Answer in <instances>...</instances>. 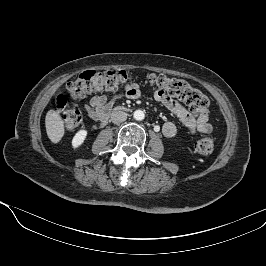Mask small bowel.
Returning <instances> with one entry per match:
<instances>
[{
  "label": "small bowel",
  "mask_w": 266,
  "mask_h": 266,
  "mask_svg": "<svg viewBox=\"0 0 266 266\" xmlns=\"http://www.w3.org/2000/svg\"><path fill=\"white\" fill-rule=\"evenodd\" d=\"M141 96V90L135 84H129L125 90L116 94L112 98L106 95H98L91 98L84 109L88 117L95 123H101L104 116L110 109L112 103L122 97L137 99ZM153 97L169 109L178 119L180 124L191 133L208 134L212 131V125L209 122L208 113L193 116L185 106L178 100L161 91H154ZM177 132V127L173 122H165L162 126V133L165 137H173Z\"/></svg>",
  "instance_id": "c3829d8e"
}]
</instances>
